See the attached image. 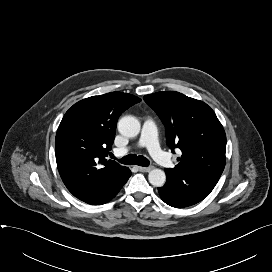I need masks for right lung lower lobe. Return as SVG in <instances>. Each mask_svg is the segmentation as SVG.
I'll list each match as a JSON object with an SVG mask.
<instances>
[{
  "label": "right lung lower lobe",
  "mask_w": 272,
  "mask_h": 272,
  "mask_svg": "<svg viewBox=\"0 0 272 272\" xmlns=\"http://www.w3.org/2000/svg\"><path fill=\"white\" fill-rule=\"evenodd\" d=\"M130 176H131V171L129 170V173L127 174L125 179L122 180L121 183L114 186L113 188H111L107 192L103 193L101 196H99L95 200L87 201L86 203L91 204V205H101V204L107 203L108 201H110L111 199H113L117 195V193L120 191V189L123 187V185L127 182V180L129 179Z\"/></svg>",
  "instance_id": "right-lung-lower-lobe-1"
}]
</instances>
